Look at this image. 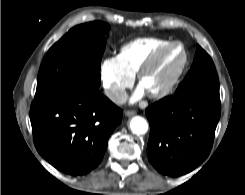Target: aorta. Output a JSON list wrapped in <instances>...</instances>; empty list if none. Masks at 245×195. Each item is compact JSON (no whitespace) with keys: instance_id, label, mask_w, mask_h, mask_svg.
<instances>
[{"instance_id":"obj_1","label":"aorta","mask_w":245,"mask_h":195,"mask_svg":"<svg viewBox=\"0 0 245 195\" xmlns=\"http://www.w3.org/2000/svg\"><path fill=\"white\" fill-rule=\"evenodd\" d=\"M130 129L134 134H145L148 130V123L143 117L135 116L131 119Z\"/></svg>"}]
</instances>
